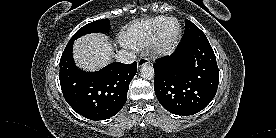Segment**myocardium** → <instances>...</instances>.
<instances>
[{
	"mask_svg": "<svg viewBox=\"0 0 276 138\" xmlns=\"http://www.w3.org/2000/svg\"><path fill=\"white\" fill-rule=\"evenodd\" d=\"M175 21L178 25V29L174 36L170 39L165 38V29L169 22ZM182 37V26L178 19L174 17H168L158 28L155 36L153 37L150 48L154 56H167L171 54L177 47Z\"/></svg>",
	"mask_w": 276,
	"mask_h": 138,
	"instance_id": "obj_1",
	"label": "myocardium"
}]
</instances>
